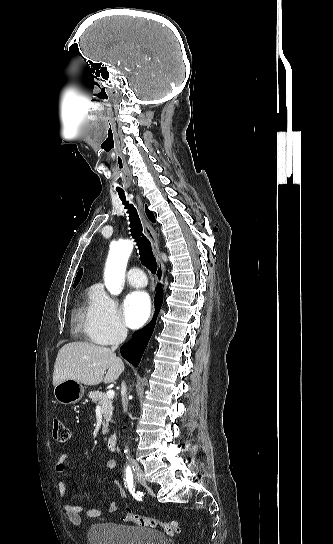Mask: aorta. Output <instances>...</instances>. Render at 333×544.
<instances>
[{
  "label": "aorta",
  "instance_id": "1",
  "mask_svg": "<svg viewBox=\"0 0 333 544\" xmlns=\"http://www.w3.org/2000/svg\"><path fill=\"white\" fill-rule=\"evenodd\" d=\"M132 250L133 244L129 240L121 241L110 248L104 282L107 290L113 295H118L122 291L126 265Z\"/></svg>",
  "mask_w": 333,
  "mask_h": 544
}]
</instances>
